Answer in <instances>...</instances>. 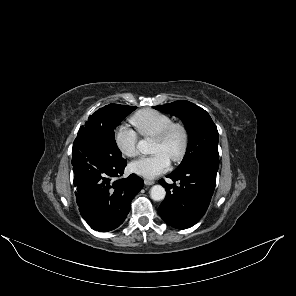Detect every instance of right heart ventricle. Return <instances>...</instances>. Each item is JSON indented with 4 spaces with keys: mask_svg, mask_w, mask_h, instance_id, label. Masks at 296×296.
<instances>
[{
    "mask_svg": "<svg viewBox=\"0 0 296 296\" xmlns=\"http://www.w3.org/2000/svg\"><path fill=\"white\" fill-rule=\"evenodd\" d=\"M131 123L143 137L155 138L172 123V119L159 111L145 109L133 115Z\"/></svg>",
    "mask_w": 296,
    "mask_h": 296,
    "instance_id": "right-heart-ventricle-1",
    "label": "right heart ventricle"
}]
</instances>
